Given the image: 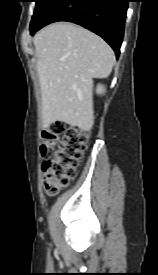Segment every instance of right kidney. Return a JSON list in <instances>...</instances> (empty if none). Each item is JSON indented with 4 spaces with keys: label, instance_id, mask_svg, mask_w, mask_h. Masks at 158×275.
Returning <instances> with one entry per match:
<instances>
[{
    "label": "right kidney",
    "instance_id": "ca27d5eb",
    "mask_svg": "<svg viewBox=\"0 0 158 275\" xmlns=\"http://www.w3.org/2000/svg\"><path fill=\"white\" fill-rule=\"evenodd\" d=\"M105 92V89L102 85H98L97 87V93L102 94Z\"/></svg>",
    "mask_w": 158,
    "mask_h": 275
}]
</instances>
